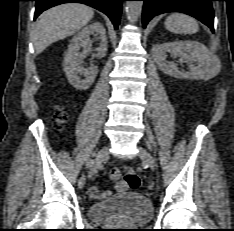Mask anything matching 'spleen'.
<instances>
[{
    "label": "spleen",
    "mask_w": 234,
    "mask_h": 231,
    "mask_svg": "<svg viewBox=\"0 0 234 231\" xmlns=\"http://www.w3.org/2000/svg\"><path fill=\"white\" fill-rule=\"evenodd\" d=\"M168 31L176 34H194L199 30L197 21L182 13H173L165 20Z\"/></svg>",
    "instance_id": "spleen-1"
}]
</instances>
